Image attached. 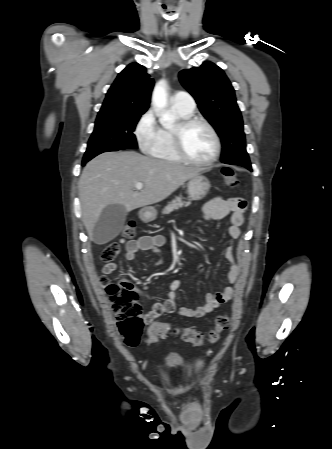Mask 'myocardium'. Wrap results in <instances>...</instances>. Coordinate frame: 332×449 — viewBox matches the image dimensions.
Here are the masks:
<instances>
[{"instance_id":"1","label":"myocardium","mask_w":332,"mask_h":449,"mask_svg":"<svg viewBox=\"0 0 332 449\" xmlns=\"http://www.w3.org/2000/svg\"><path fill=\"white\" fill-rule=\"evenodd\" d=\"M194 124L204 125L210 131V133L213 137V140H214V144H215L214 153L209 159L204 160V161L196 160V159L192 158L191 156L188 155V153L186 152V150L184 148V144H183L184 132L188 127H190ZM172 143H173V148H174L175 153L182 161H185L187 163H190V164H193L196 166L212 165L213 163H215L218 160L220 153H221V140H220V137H219L216 129L210 122H208L206 119L201 118V117L190 116L187 118L180 119L177 122V124L175 125V127L172 129Z\"/></svg>"}]
</instances>
